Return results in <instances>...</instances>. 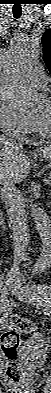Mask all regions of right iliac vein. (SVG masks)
I'll return each instance as SVG.
<instances>
[{
  "instance_id": "obj_1",
  "label": "right iliac vein",
  "mask_w": 51,
  "mask_h": 393,
  "mask_svg": "<svg viewBox=\"0 0 51 393\" xmlns=\"http://www.w3.org/2000/svg\"><path fill=\"white\" fill-rule=\"evenodd\" d=\"M14 277L12 276V275H7L6 276V278H5V280H4V284H3V286H2V289H1V295L3 296V297H6L8 294H9V292H10V290H11V288H12V286L14 285ZM1 309L3 310V309H6V307L4 306V305H2L1 304ZM5 311V310H4Z\"/></svg>"
}]
</instances>
